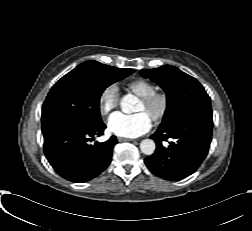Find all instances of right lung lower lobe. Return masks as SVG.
Segmentation results:
<instances>
[{
  "label": "right lung lower lobe",
  "instance_id": "obj_1",
  "mask_svg": "<svg viewBox=\"0 0 252 231\" xmlns=\"http://www.w3.org/2000/svg\"><path fill=\"white\" fill-rule=\"evenodd\" d=\"M103 122L94 127L65 125L44 135V152L54 170L72 182H87L104 171L111 162L115 136L90 145L94 135L101 136ZM91 137V138H90Z\"/></svg>",
  "mask_w": 252,
  "mask_h": 231
}]
</instances>
